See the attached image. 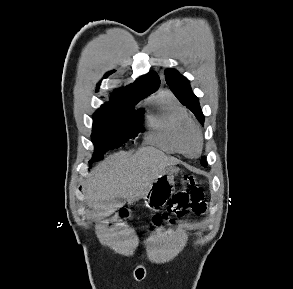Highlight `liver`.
Wrapping results in <instances>:
<instances>
[{"label": "liver", "instance_id": "6515ba94", "mask_svg": "<svg viewBox=\"0 0 293 289\" xmlns=\"http://www.w3.org/2000/svg\"><path fill=\"white\" fill-rule=\"evenodd\" d=\"M176 164L177 159L151 146L143 147L133 155L114 153L91 171L84 186L86 203L95 210L103 207L104 202L115 199L133 203L147 194L168 167ZM106 214H110L109 209Z\"/></svg>", "mask_w": 293, "mask_h": 289}]
</instances>
